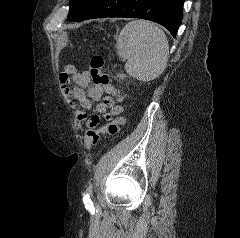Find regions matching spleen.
Masks as SVG:
<instances>
[{
    "label": "spleen",
    "mask_w": 240,
    "mask_h": 238,
    "mask_svg": "<svg viewBox=\"0 0 240 238\" xmlns=\"http://www.w3.org/2000/svg\"><path fill=\"white\" fill-rule=\"evenodd\" d=\"M116 49L119 57L127 59L126 71L140 81L153 80L166 68L168 40L163 30L152 22L127 23L120 32Z\"/></svg>",
    "instance_id": "3e777b00"
}]
</instances>
